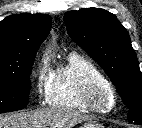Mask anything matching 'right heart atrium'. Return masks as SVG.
Returning a JSON list of instances; mask_svg holds the SVG:
<instances>
[{
  "label": "right heart atrium",
  "instance_id": "obj_1",
  "mask_svg": "<svg viewBox=\"0 0 142 128\" xmlns=\"http://www.w3.org/2000/svg\"><path fill=\"white\" fill-rule=\"evenodd\" d=\"M54 71L52 70L49 60L43 56L33 73V82L36 93L41 100H47L53 81Z\"/></svg>",
  "mask_w": 142,
  "mask_h": 128
}]
</instances>
